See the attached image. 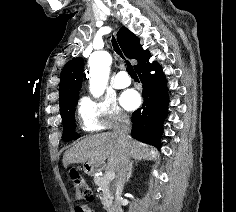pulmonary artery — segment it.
Wrapping results in <instances>:
<instances>
[{"label": "pulmonary artery", "mask_w": 236, "mask_h": 212, "mask_svg": "<svg viewBox=\"0 0 236 212\" xmlns=\"http://www.w3.org/2000/svg\"><path fill=\"white\" fill-rule=\"evenodd\" d=\"M131 84V79L126 72L121 71L117 73L114 79V86L116 88H125Z\"/></svg>", "instance_id": "pulmonary-artery-1"}]
</instances>
